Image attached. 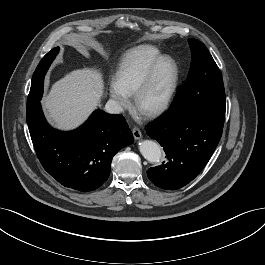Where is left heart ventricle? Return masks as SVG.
Masks as SVG:
<instances>
[{
	"mask_svg": "<svg viewBox=\"0 0 265 265\" xmlns=\"http://www.w3.org/2000/svg\"><path fill=\"white\" fill-rule=\"evenodd\" d=\"M170 81V69L163 65L159 69L150 89L143 99V106L150 107L158 103L165 95Z\"/></svg>",
	"mask_w": 265,
	"mask_h": 265,
	"instance_id": "obj_1",
	"label": "left heart ventricle"
}]
</instances>
